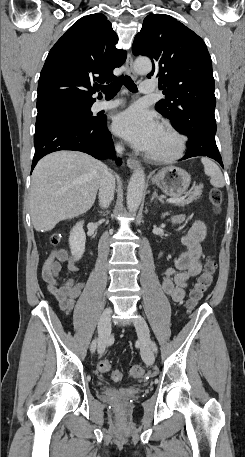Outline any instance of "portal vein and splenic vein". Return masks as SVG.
<instances>
[{"mask_svg": "<svg viewBox=\"0 0 245 457\" xmlns=\"http://www.w3.org/2000/svg\"><path fill=\"white\" fill-rule=\"evenodd\" d=\"M186 196H179V198H167L168 202H182Z\"/></svg>", "mask_w": 245, "mask_h": 457, "instance_id": "18ae733b", "label": "portal vein and splenic vein"}]
</instances>
